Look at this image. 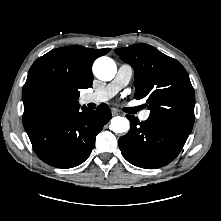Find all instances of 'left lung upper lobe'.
Here are the masks:
<instances>
[{"label":"left lung upper lobe","instance_id":"obj_1","mask_svg":"<svg viewBox=\"0 0 221 221\" xmlns=\"http://www.w3.org/2000/svg\"><path fill=\"white\" fill-rule=\"evenodd\" d=\"M115 52L133 67L135 98H147L149 118L191 131L195 94L185 68L148 44L118 48Z\"/></svg>","mask_w":221,"mask_h":221}]
</instances>
